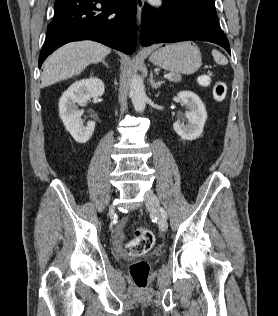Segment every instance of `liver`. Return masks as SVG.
Listing matches in <instances>:
<instances>
[{
	"instance_id": "liver-1",
	"label": "liver",
	"mask_w": 278,
	"mask_h": 316,
	"mask_svg": "<svg viewBox=\"0 0 278 316\" xmlns=\"http://www.w3.org/2000/svg\"><path fill=\"white\" fill-rule=\"evenodd\" d=\"M110 52V48L89 40L64 45L45 61L41 87L79 75L88 65L104 60Z\"/></svg>"
}]
</instances>
